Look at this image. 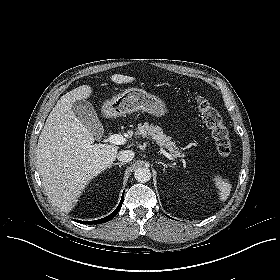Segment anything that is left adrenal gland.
Wrapping results in <instances>:
<instances>
[{"label":"left adrenal gland","instance_id":"obj_1","mask_svg":"<svg viewBox=\"0 0 280 280\" xmlns=\"http://www.w3.org/2000/svg\"><path fill=\"white\" fill-rule=\"evenodd\" d=\"M157 163L161 164L164 167V170L168 167H174L173 166L174 164H166V163H163L162 161H157Z\"/></svg>","mask_w":280,"mask_h":280}]
</instances>
